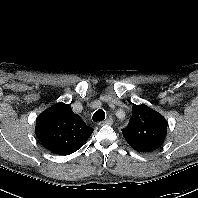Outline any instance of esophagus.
I'll return each instance as SVG.
<instances>
[{"label": "esophagus", "instance_id": "1", "mask_svg": "<svg viewBox=\"0 0 198 198\" xmlns=\"http://www.w3.org/2000/svg\"><path fill=\"white\" fill-rule=\"evenodd\" d=\"M113 119L111 117L107 118L105 121H100L98 123L99 126H103V125H112L113 124Z\"/></svg>", "mask_w": 198, "mask_h": 198}]
</instances>
